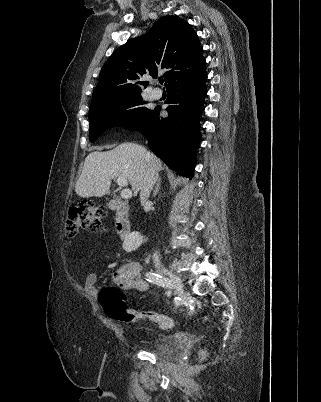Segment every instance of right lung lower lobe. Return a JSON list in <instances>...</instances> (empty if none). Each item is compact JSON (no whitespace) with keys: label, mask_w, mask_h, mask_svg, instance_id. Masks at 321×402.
Wrapping results in <instances>:
<instances>
[{"label":"right lung lower lobe","mask_w":321,"mask_h":402,"mask_svg":"<svg viewBox=\"0 0 321 402\" xmlns=\"http://www.w3.org/2000/svg\"><path fill=\"white\" fill-rule=\"evenodd\" d=\"M205 64L172 80L167 86V118H159L157 106L136 125L149 140V147L171 169L192 178L199 145V117L207 94Z\"/></svg>","instance_id":"98d812e1"}]
</instances>
